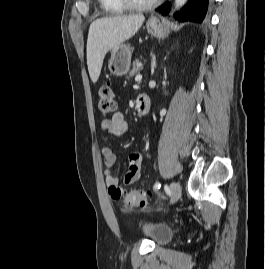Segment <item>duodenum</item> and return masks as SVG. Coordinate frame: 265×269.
Wrapping results in <instances>:
<instances>
[{
    "mask_svg": "<svg viewBox=\"0 0 265 269\" xmlns=\"http://www.w3.org/2000/svg\"><path fill=\"white\" fill-rule=\"evenodd\" d=\"M136 107L139 115L141 116L146 115L150 109L149 97L145 94L138 95L136 100Z\"/></svg>",
    "mask_w": 265,
    "mask_h": 269,
    "instance_id": "1",
    "label": "duodenum"
}]
</instances>
